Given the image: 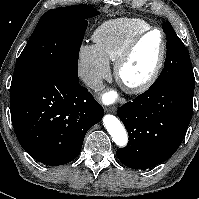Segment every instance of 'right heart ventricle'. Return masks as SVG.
<instances>
[{
	"label": "right heart ventricle",
	"instance_id": "1",
	"mask_svg": "<svg viewBox=\"0 0 199 199\" xmlns=\"http://www.w3.org/2000/svg\"><path fill=\"white\" fill-rule=\"evenodd\" d=\"M150 27L147 21L140 18L109 20L95 30L93 40L104 58L115 62L130 40Z\"/></svg>",
	"mask_w": 199,
	"mask_h": 199
}]
</instances>
